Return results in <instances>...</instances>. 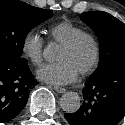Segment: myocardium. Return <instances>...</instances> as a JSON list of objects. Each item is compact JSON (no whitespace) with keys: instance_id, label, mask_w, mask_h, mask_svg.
Listing matches in <instances>:
<instances>
[{"instance_id":"1","label":"myocardium","mask_w":125,"mask_h":125,"mask_svg":"<svg viewBox=\"0 0 125 125\" xmlns=\"http://www.w3.org/2000/svg\"><path fill=\"white\" fill-rule=\"evenodd\" d=\"M83 39H89L92 42L93 48H94L93 56H92L90 63L79 73L80 75L85 76V75L90 74L95 69V67L97 66V63L99 61L100 43H99L98 39L96 38V36L90 32L83 31V32L73 36L65 43L61 44V46L66 49H71V48L75 47Z\"/></svg>"}]
</instances>
